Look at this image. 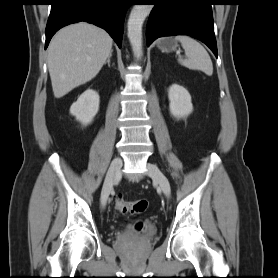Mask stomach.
Returning <instances> with one entry per match:
<instances>
[{"mask_svg":"<svg viewBox=\"0 0 278 278\" xmlns=\"http://www.w3.org/2000/svg\"><path fill=\"white\" fill-rule=\"evenodd\" d=\"M177 42L175 39L172 37H166L162 38L157 42V47L162 51V52H172L177 49Z\"/></svg>","mask_w":278,"mask_h":278,"instance_id":"1","label":"stomach"}]
</instances>
